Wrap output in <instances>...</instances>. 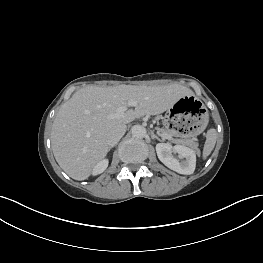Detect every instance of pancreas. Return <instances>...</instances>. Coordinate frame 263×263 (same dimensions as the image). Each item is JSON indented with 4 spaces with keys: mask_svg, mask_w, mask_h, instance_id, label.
I'll return each mask as SVG.
<instances>
[{
    "mask_svg": "<svg viewBox=\"0 0 263 263\" xmlns=\"http://www.w3.org/2000/svg\"><path fill=\"white\" fill-rule=\"evenodd\" d=\"M159 132L168 136L167 139H170L173 143H179L183 145H187L194 150H198V143L194 139H182V138H174L177 133L174 130L161 128Z\"/></svg>",
    "mask_w": 263,
    "mask_h": 263,
    "instance_id": "pancreas-1",
    "label": "pancreas"
}]
</instances>
